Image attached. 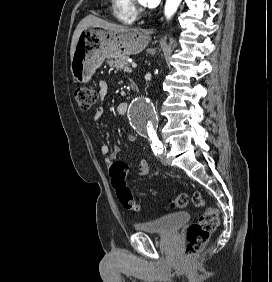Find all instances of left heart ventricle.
Returning <instances> with one entry per match:
<instances>
[{
  "instance_id": "1",
  "label": "left heart ventricle",
  "mask_w": 272,
  "mask_h": 282,
  "mask_svg": "<svg viewBox=\"0 0 272 282\" xmlns=\"http://www.w3.org/2000/svg\"><path fill=\"white\" fill-rule=\"evenodd\" d=\"M140 3H142V1L141 0H138Z\"/></svg>"
}]
</instances>
